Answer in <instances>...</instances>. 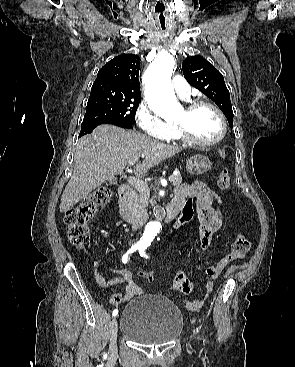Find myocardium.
Instances as JSON below:
<instances>
[{"label":"myocardium","mask_w":295,"mask_h":367,"mask_svg":"<svg viewBox=\"0 0 295 367\" xmlns=\"http://www.w3.org/2000/svg\"><path fill=\"white\" fill-rule=\"evenodd\" d=\"M200 107H209L211 108L216 115L218 116L220 123H221V132L220 135L213 140L210 141H201L196 139L191 133L190 131L183 125L181 124H175L176 129L178 131V133L180 134V136L189 144L194 145V146H198V147H210V146H214L218 143H220L226 136L227 133V123H226V119L224 114L222 113V111L213 103L209 102V101H205V100H198V101H194L192 103H190L189 105L186 106L185 110L187 112H192Z\"/></svg>","instance_id":"1"}]
</instances>
